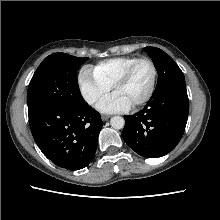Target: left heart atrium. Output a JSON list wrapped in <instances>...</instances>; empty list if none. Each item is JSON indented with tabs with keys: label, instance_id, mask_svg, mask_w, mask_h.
<instances>
[{
	"label": "left heart atrium",
	"instance_id": "39dd6f15",
	"mask_svg": "<svg viewBox=\"0 0 220 220\" xmlns=\"http://www.w3.org/2000/svg\"><path fill=\"white\" fill-rule=\"evenodd\" d=\"M98 110L103 113L124 112L131 108V105L122 96L117 93L104 98L98 105Z\"/></svg>",
	"mask_w": 220,
	"mask_h": 220
}]
</instances>
